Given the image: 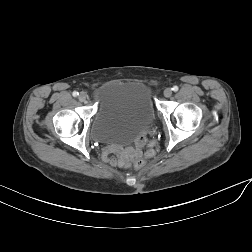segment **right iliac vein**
<instances>
[{
  "label": "right iliac vein",
  "instance_id": "63e3f726",
  "mask_svg": "<svg viewBox=\"0 0 252 252\" xmlns=\"http://www.w3.org/2000/svg\"><path fill=\"white\" fill-rule=\"evenodd\" d=\"M79 100L81 101V102H87L88 101V95H87V93L86 92H81L80 94H79Z\"/></svg>",
  "mask_w": 252,
  "mask_h": 252
}]
</instances>
